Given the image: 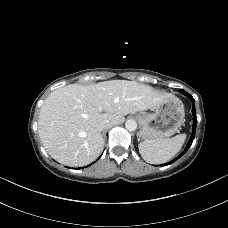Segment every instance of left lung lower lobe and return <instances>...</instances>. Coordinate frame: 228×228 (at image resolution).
Returning a JSON list of instances; mask_svg holds the SVG:
<instances>
[{
  "mask_svg": "<svg viewBox=\"0 0 228 228\" xmlns=\"http://www.w3.org/2000/svg\"><path fill=\"white\" fill-rule=\"evenodd\" d=\"M184 95H186L187 97H189L190 100H191L192 103H193V106H192V113H193V128H192V134H191V137H190V139H189V142H188V144L186 145L184 151H183L179 156H177L175 159H173L172 161H170L169 163L162 164L163 166H166V165H168V164H171V163H173L174 161H176L177 159H179L181 156H183V155L187 152V150L189 149V147L191 146V144H192V142H193V140H194V137H195V131H196V125H197V117H196L195 104H194L195 100H194L193 97H192L190 94H188L187 92H184Z\"/></svg>",
  "mask_w": 228,
  "mask_h": 228,
  "instance_id": "0a47b994",
  "label": "left lung lower lobe"
}]
</instances>
